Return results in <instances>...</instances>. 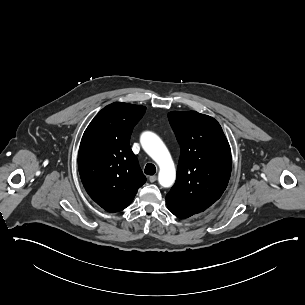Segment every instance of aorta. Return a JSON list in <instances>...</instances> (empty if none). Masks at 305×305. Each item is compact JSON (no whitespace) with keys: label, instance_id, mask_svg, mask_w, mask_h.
Listing matches in <instances>:
<instances>
[{"label":"aorta","instance_id":"1","mask_svg":"<svg viewBox=\"0 0 305 305\" xmlns=\"http://www.w3.org/2000/svg\"><path fill=\"white\" fill-rule=\"evenodd\" d=\"M145 152L158 164V181L163 187H171L176 178V170L171 155L162 140L152 132H144L140 138Z\"/></svg>","mask_w":305,"mask_h":305}]
</instances>
